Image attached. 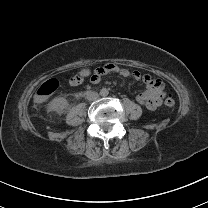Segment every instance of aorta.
I'll return each instance as SVG.
<instances>
[{"mask_svg": "<svg viewBox=\"0 0 208 208\" xmlns=\"http://www.w3.org/2000/svg\"><path fill=\"white\" fill-rule=\"evenodd\" d=\"M100 95H101L102 98L107 99V98L110 97L111 92H110V90L107 89V88H102V89L100 90Z\"/></svg>", "mask_w": 208, "mask_h": 208, "instance_id": "762f6f07", "label": "aorta"}]
</instances>
